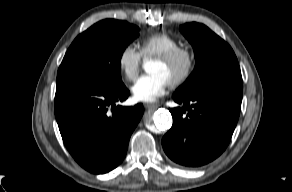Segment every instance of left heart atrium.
I'll return each instance as SVG.
<instances>
[{
    "instance_id": "1",
    "label": "left heart atrium",
    "mask_w": 292,
    "mask_h": 192,
    "mask_svg": "<svg viewBox=\"0 0 292 192\" xmlns=\"http://www.w3.org/2000/svg\"><path fill=\"white\" fill-rule=\"evenodd\" d=\"M169 82L159 73H149L136 80L131 87L136 101L152 102L165 94Z\"/></svg>"
}]
</instances>
